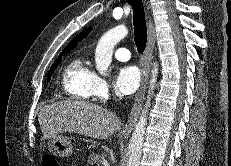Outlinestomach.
<instances>
[{"label": "stomach", "mask_w": 231, "mask_h": 166, "mask_svg": "<svg viewBox=\"0 0 231 166\" xmlns=\"http://www.w3.org/2000/svg\"><path fill=\"white\" fill-rule=\"evenodd\" d=\"M48 148L51 153L59 157H68L72 154V143L66 136H51L48 140Z\"/></svg>", "instance_id": "obj_1"}]
</instances>
